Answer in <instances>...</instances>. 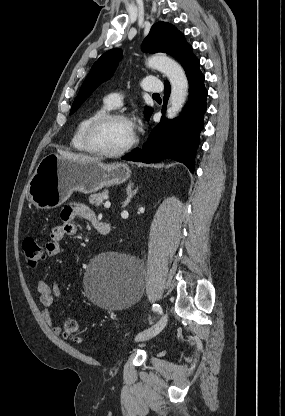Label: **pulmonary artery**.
Returning a JSON list of instances; mask_svg holds the SVG:
<instances>
[{"mask_svg": "<svg viewBox=\"0 0 285 416\" xmlns=\"http://www.w3.org/2000/svg\"><path fill=\"white\" fill-rule=\"evenodd\" d=\"M153 80L155 83H149V81ZM142 87L149 91L151 96H158L160 94V89L162 86L158 83V80L155 79L153 76H147L143 80ZM121 90L117 89L116 93H112L111 95L105 97L104 103L108 108H114L119 105V101L124 99L123 95H120Z\"/></svg>", "mask_w": 285, "mask_h": 416, "instance_id": "obj_1", "label": "pulmonary artery"}]
</instances>
